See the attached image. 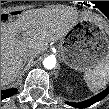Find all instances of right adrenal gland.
Masks as SVG:
<instances>
[{
	"label": "right adrenal gland",
	"instance_id": "right-adrenal-gland-1",
	"mask_svg": "<svg viewBox=\"0 0 109 109\" xmlns=\"http://www.w3.org/2000/svg\"><path fill=\"white\" fill-rule=\"evenodd\" d=\"M26 62H23V67L25 66Z\"/></svg>",
	"mask_w": 109,
	"mask_h": 109
}]
</instances>
